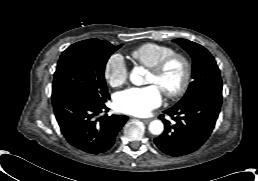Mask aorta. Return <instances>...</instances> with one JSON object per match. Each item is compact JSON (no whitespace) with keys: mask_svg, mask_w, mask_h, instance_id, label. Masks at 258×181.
<instances>
[{"mask_svg":"<svg viewBox=\"0 0 258 181\" xmlns=\"http://www.w3.org/2000/svg\"><path fill=\"white\" fill-rule=\"evenodd\" d=\"M145 70L142 67H135L130 73V81L132 84L140 86L144 84ZM148 130L153 135H160L164 130V125L160 120H153L150 122L148 126Z\"/></svg>","mask_w":258,"mask_h":181,"instance_id":"obj_1","label":"aorta"}]
</instances>
